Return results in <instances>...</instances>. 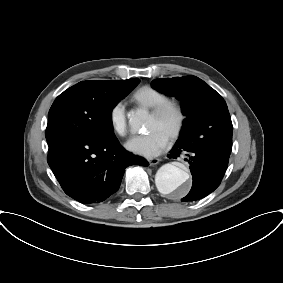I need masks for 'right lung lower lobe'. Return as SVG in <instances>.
Segmentation results:
<instances>
[{
    "label": "right lung lower lobe",
    "instance_id": "right-lung-lower-lobe-1",
    "mask_svg": "<svg viewBox=\"0 0 283 283\" xmlns=\"http://www.w3.org/2000/svg\"><path fill=\"white\" fill-rule=\"evenodd\" d=\"M48 164L64 192L82 203H99L118 191L124 169L148 162L126 151L115 135L73 137L49 144Z\"/></svg>",
    "mask_w": 283,
    "mask_h": 283
}]
</instances>
